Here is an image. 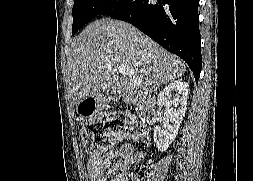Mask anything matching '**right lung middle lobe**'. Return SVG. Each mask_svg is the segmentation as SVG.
Wrapping results in <instances>:
<instances>
[{
  "label": "right lung middle lobe",
  "instance_id": "1",
  "mask_svg": "<svg viewBox=\"0 0 253 181\" xmlns=\"http://www.w3.org/2000/svg\"><path fill=\"white\" fill-rule=\"evenodd\" d=\"M129 0H74L72 9L74 35L84 24L98 15H111L122 7Z\"/></svg>",
  "mask_w": 253,
  "mask_h": 181
}]
</instances>
